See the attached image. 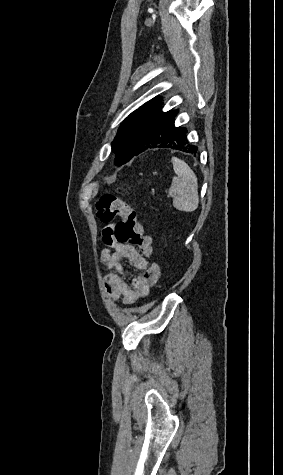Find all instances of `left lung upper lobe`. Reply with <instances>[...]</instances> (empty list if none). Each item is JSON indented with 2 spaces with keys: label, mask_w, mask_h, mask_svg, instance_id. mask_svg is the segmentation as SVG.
I'll list each match as a JSON object with an SVG mask.
<instances>
[{
  "label": "left lung upper lobe",
  "mask_w": 283,
  "mask_h": 475,
  "mask_svg": "<svg viewBox=\"0 0 283 475\" xmlns=\"http://www.w3.org/2000/svg\"><path fill=\"white\" fill-rule=\"evenodd\" d=\"M161 102V98L155 97L152 100L148 101L144 105H142L139 109L135 110L132 112L126 120L122 123L120 126L118 133L116 137L114 138V141L112 143V149L114 145L116 144L117 140L122 136V135H138L140 134L145 121L147 120L149 114L151 111Z\"/></svg>",
  "instance_id": "5c2ea615"
}]
</instances>
